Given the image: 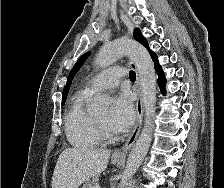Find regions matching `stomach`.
<instances>
[{
	"instance_id": "0dacf381",
	"label": "stomach",
	"mask_w": 224,
	"mask_h": 188,
	"mask_svg": "<svg viewBox=\"0 0 224 188\" xmlns=\"http://www.w3.org/2000/svg\"><path fill=\"white\" fill-rule=\"evenodd\" d=\"M122 161H123V159H115V158H112L113 164H116V165L120 164Z\"/></svg>"
}]
</instances>
